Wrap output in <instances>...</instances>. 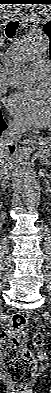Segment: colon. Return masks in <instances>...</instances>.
<instances>
[{
	"mask_svg": "<svg viewBox=\"0 0 51 393\" xmlns=\"http://www.w3.org/2000/svg\"><path fill=\"white\" fill-rule=\"evenodd\" d=\"M27 320L23 314L16 313L1 331L2 374L16 393H27L36 372V361L26 347ZM35 348L45 345L42 333L32 337Z\"/></svg>",
	"mask_w": 51,
	"mask_h": 393,
	"instance_id": "1",
	"label": "colon"
}]
</instances>
